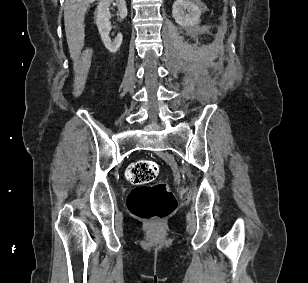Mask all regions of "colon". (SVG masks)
Returning <instances> with one entry per match:
<instances>
[{
  "instance_id": "colon-1",
  "label": "colon",
  "mask_w": 308,
  "mask_h": 283,
  "mask_svg": "<svg viewBox=\"0 0 308 283\" xmlns=\"http://www.w3.org/2000/svg\"><path fill=\"white\" fill-rule=\"evenodd\" d=\"M92 47L84 48L74 65V93L80 95L87 84ZM159 167L151 160H138L126 170L127 180L135 186L128 196L129 211L136 217L159 221L169 216L176 208V199L169 185L159 182L150 185L158 176Z\"/></svg>"
}]
</instances>
